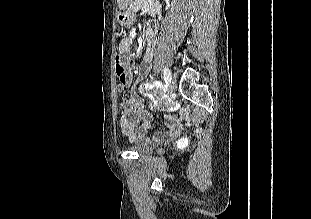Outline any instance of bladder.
<instances>
[{
  "label": "bladder",
  "mask_w": 311,
  "mask_h": 219,
  "mask_svg": "<svg viewBox=\"0 0 311 219\" xmlns=\"http://www.w3.org/2000/svg\"><path fill=\"white\" fill-rule=\"evenodd\" d=\"M155 147H157L156 143H146L132 146L130 149L138 154H147L151 152Z\"/></svg>",
  "instance_id": "bladder-1"
}]
</instances>
